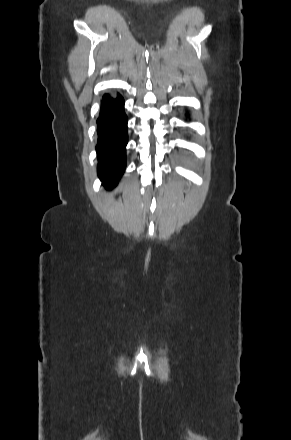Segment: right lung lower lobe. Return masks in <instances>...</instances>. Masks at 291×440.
I'll list each match as a JSON object with an SVG mask.
<instances>
[{
    "mask_svg": "<svg viewBox=\"0 0 291 440\" xmlns=\"http://www.w3.org/2000/svg\"><path fill=\"white\" fill-rule=\"evenodd\" d=\"M124 100L117 94L116 99L103 96L98 123V175L106 188L114 187L126 166L125 147L127 137V116Z\"/></svg>",
    "mask_w": 291,
    "mask_h": 440,
    "instance_id": "1",
    "label": "right lung lower lobe"
}]
</instances>
